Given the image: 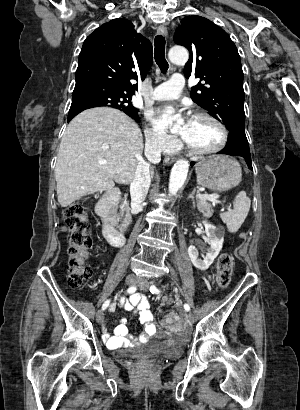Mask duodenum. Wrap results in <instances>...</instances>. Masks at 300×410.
<instances>
[{"label": "duodenum", "mask_w": 300, "mask_h": 410, "mask_svg": "<svg viewBox=\"0 0 300 410\" xmlns=\"http://www.w3.org/2000/svg\"><path fill=\"white\" fill-rule=\"evenodd\" d=\"M121 193L118 190L110 191L98 205V212L103 219V236L113 247H120L125 243V235L116 227L117 213L112 204L118 203Z\"/></svg>", "instance_id": "duodenum-1"}]
</instances>
